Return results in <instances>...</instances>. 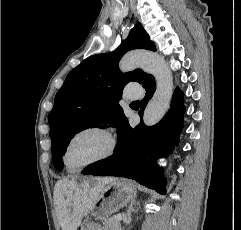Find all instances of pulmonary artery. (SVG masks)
Returning a JSON list of instances; mask_svg holds the SVG:
<instances>
[{
    "label": "pulmonary artery",
    "mask_w": 241,
    "mask_h": 230,
    "mask_svg": "<svg viewBox=\"0 0 241 230\" xmlns=\"http://www.w3.org/2000/svg\"><path fill=\"white\" fill-rule=\"evenodd\" d=\"M141 96V89L137 83H129L125 88V98L127 100H136Z\"/></svg>",
    "instance_id": "obj_1"
}]
</instances>
